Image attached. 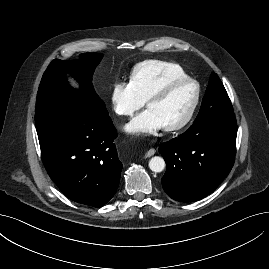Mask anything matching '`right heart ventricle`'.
<instances>
[{
	"label": "right heart ventricle",
	"mask_w": 269,
	"mask_h": 269,
	"mask_svg": "<svg viewBox=\"0 0 269 269\" xmlns=\"http://www.w3.org/2000/svg\"><path fill=\"white\" fill-rule=\"evenodd\" d=\"M186 77L187 74L177 64L161 60H147L133 68L130 82L139 97L146 101L152 93L167 83Z\"/></svg>",
	"instance_id": "1"
}]
</instances>
